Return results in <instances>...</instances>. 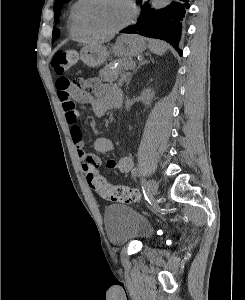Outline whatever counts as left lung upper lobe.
<instances>
[{"label": "left lung upper lobe", "mask_w": 245, "mask_h": 300, "mask_svg": "<svg viewBox=\"0 0 245 300\" xmlns=\"http://www.w3.org/2000/svg\"><path fill=\"white\" fill-rule=\"evenodd\" d=\"M68 0H56L54 4V20L55 22L58 21L60 17V11L64 3H66ZM59 36V29L55 28L53 29V41L58 38Z\"/></svg>", "instance_id": "left-lung-upper-lobe-1"}]
</instances>
